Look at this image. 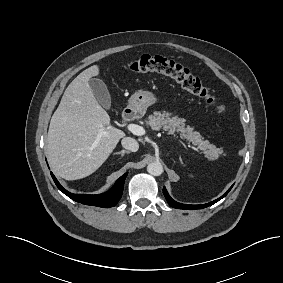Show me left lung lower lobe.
Segmentation results:
<instances>
[{
	"label": "left lung lower lobe",
	"mask_w": 283,
	"mask_h": 283,
	"mask_svg": "<svg viewBox=\"0 0 283 283\" xmlns=\"http://www.w3.org/2000/svg\"><path fill=\"white\" fill-rule=\"evenodd\" d=\"M232 188V187H231ZM231 188L223 195L221 196L220 198L210 202V203H207V204H202V205H187V204H181V203H178L176 201H174L168 194L167 190L165 189V187L163 188V193H164V196L167 200V202L170 204V206L174 207V208H177V209H187V210H194V209H201V208H205V207H208V206H211L213 205L214 203L218 202L219 200H221L224 196L227 195V193L231 190Z\"/></svg>",
	"instance_id": "left-lung-lower-lobe-1"
}]
</instances>
